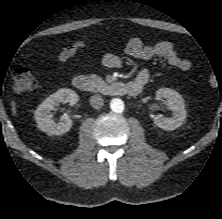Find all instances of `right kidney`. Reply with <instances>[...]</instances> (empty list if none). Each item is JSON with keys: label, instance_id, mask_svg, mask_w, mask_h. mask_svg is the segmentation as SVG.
<instances>
[{"label": "right kidney", "instance_id": "obj_1", "mask_svg": "<svg viewBox=\"0 0 222 219\" xmlns=\"http://www.w3.org/2000/svg\"><path fill=\"white\" fill-rule=\"evenodd\" d=\"M78 94L67 88H63L47 97L35 110V120L37 127L49 135H62L68 132L73 126L70 116L64 114L57 122L53 119L52 110L55 109L60 102H69L74 105L78 102Z\"/></svg>", "mask_w": 222, "mask_h": 219}]
</instances>
